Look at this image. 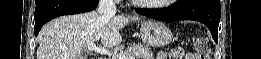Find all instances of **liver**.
I'll return each mask as SVG.
<instances>
[{
    "mask_svg": "<svg viewBox=\"0 0 261 59\" xmlns=\"http://www.w3.org/2000/svg\"><path fill=\"white\" fill-rule=\"evenodd\" d=\"M138 16L114 15L105 19L96 11L62 16L43 26L39 35L37 59H78L89 43L101 40L109 48L121 44L120 29Z\"/></svg>",
    "mask_w": 261,
    "mask_h": 59,
    "instance_id": "6515ba94",
    "label": "liver"
}]
</instances>
